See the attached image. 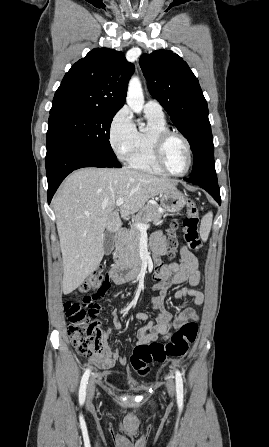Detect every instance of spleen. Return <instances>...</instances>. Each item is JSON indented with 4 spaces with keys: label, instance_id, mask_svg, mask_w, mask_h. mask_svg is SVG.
<instances>
[{
    "label": "spleen",
    "instance_id": "1",
    "mask_svg": "<svg viewBox=\"0 0 269 447\" xmlns=\"http://www.w3.org/2000/svg\"><path fill=\"white\" fill-rule=\"evenodd\" d=\"M212 220H213L212 212H208V214H206V216H203V218L201 220L199 233H200V237H201V239H203V241H207V239L209 237Z\"/></svg>",
    "mask_w": 269,
    "mask_h": 447
}]
</instances>
